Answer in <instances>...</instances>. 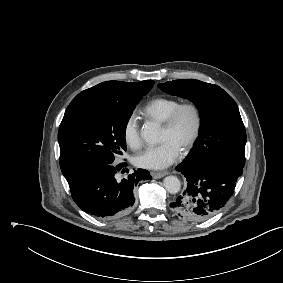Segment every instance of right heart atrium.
I'll return each mask as SVG.
<instances>
[{"label":"right heart atrium","instance_id":"d8ad5b80","mask_svg":"<svg viewBox=\"0 0 283 283\" xmlns=\"http://www.w3.org/2000/svg\"><path fill=\"white\" fill-rule=\"evenodd\" d=\"M123 139L130 148H137L141 144V133L138 118L131 114L123 125Z\"/></svg>","mask_w":283,"mask_h":283}]
</instances>
